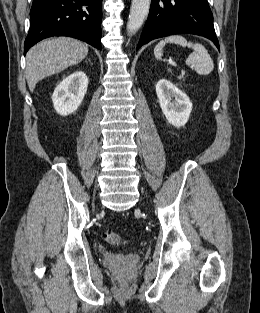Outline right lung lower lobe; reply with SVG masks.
Wrapping results in <instances>:
<instances>
[{
  "mask_svg": "<svg viewBox=\"0 0 260 313\" xmlns=\"http://www.w3.org/2000/svg\"><path fill=\"white\" fill-rule=\"evenodd\" d=\"M24 54L40 40L70 36L101 49L102 0H34Z\"/></svg>",
  "mask_w": 260,
  "mask_h": 313,
  "instance_id": "obj_1",
  "label": "right lung lower lobe"
}]
</instances>
